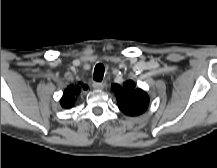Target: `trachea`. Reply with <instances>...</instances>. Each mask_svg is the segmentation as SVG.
<instances>
[{
	"label": "trachea",
	"instance_id": "obj_1",
	"mask_svg": "<svg viewBox=\"0 0 217 168\" xmlns=\"http://www.w3.org/2000/svg\"><path fill=\"white\" fill-rule=\"evenodd\" d=\"M104 71H105L104 65L101 63H98L94 69V76H93L94 80L97 82L102 81L103 76H104Z\"/></svg>",
	"mask_w": 217,
	"mask_h": 168
}]
</instances>
